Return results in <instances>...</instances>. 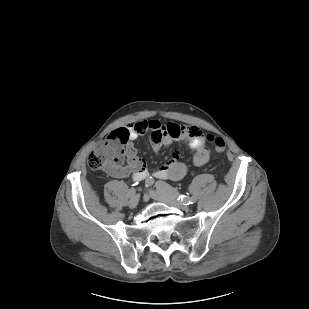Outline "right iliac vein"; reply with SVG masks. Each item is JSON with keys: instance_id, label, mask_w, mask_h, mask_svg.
<instances>
[{"instance_id": "63e3f726", "label": "right iliac vein", "mask_w": 309, "mask_h": 309, "mask_svg": "<svg viewBox=\"0 0 309 309\" xmlns=\"http://www.w3.org/2000/svg\"><path fill=\"white\" fill-rule=\"evenodd\" d=\"M135 196H138L139 197V200H140V195L139 194H135V195H133L131 198H130V200H129V203H128V205H129V207L130 208H135L137 205H138V203H139V200L138 201H135L134 200V197Z\"/></svg>"}]
</instances>
